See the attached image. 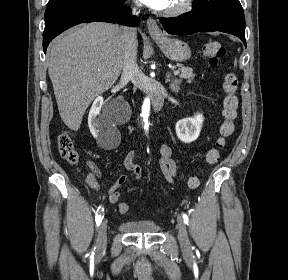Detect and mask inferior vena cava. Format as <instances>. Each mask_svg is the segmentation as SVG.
I'll return each mask as SVG.
<instances>
[{"instance_id":"1","label":"inferior vena cava","mask_w":288,"mask_h":280,"mask_svg":"<svg viewBox=\"0 0 288 280\" xmlns=\"http://www.w3.org/2000/svg\"><path fill=\"white\" fill-rule=\"evenodd\" d=\"M133 14H137L133 8ZM137 32L134 27L123 28L124 55H123V73L124 78L130 79L135 87L140 90H147L152 104V110H161L162 103L165 101L168 89H163L161 81L158 78H145L137 64Z\"/></svg>"}]
</instances>
